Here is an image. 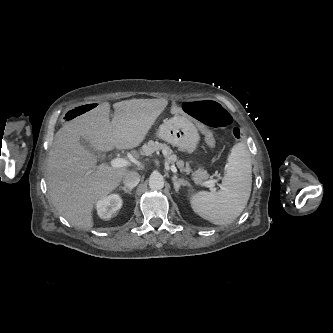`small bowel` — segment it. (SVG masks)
Listing matches in <instances>:
<instances>
[{"instance_id":"c3829d8e","label":"small bowel","mask_w":333,"mask_h":333,"mask_svg":"<svg viewBox=\"0 0 333 333\" xmlns=\"http://www.w3.org/2000/svg\"><path fill=\"white\" fill-rule=\"evenodd\" d=\"M170 110L174 112L178 116H182L186 121L191 123L194 127H196L200 132L203 133L205 136L206 141L209 143V147L211 149H214L216 147V144L214 143V137L213 134L204 126L202 125L197 119H195L193 116L188 114L185 110L180 109L178 106L172 105L170 107Z\"/></svg>"}]
</instances>
